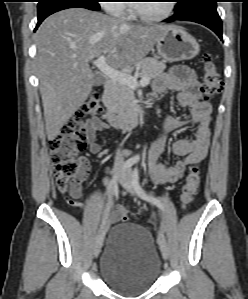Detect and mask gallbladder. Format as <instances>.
<instances>
[{"mask_svg":"<svg viewBox=\"0 0 248 299\" xmlns=\"http://www.w3.org/2000/svg\"><path fill=\"white\" fill-rule=\"evenodd\" d=\"M104 83V79L100 75H95L94 76V85L95 86H100Z\"/></svg>","mask_w":248,"mask_h":299,"instance_id":"1","label":"gallbladder"}]
</instances>
